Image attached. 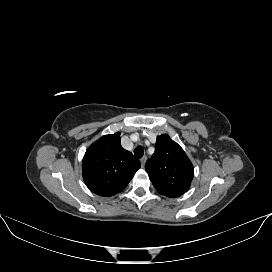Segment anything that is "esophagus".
Segmentation results:
<instances>
[{
    "instance_id": "obj_1",
    "label": "esophagus",
    "mask_w": 272,
    "mask_h": 272,
    "mask_svg": "<svg viewBox=\"0 0 272 272\" xmlns=\"http://www.w3.org/2000/svg\"><path fill=\"white\" fill-rule=\"evenodd\" d=\"M146 160H147V158H146V157H142V158L140 159V162H141L142 167H144V166H145V162H146Z\"/></svg>"
}]
</instances>
